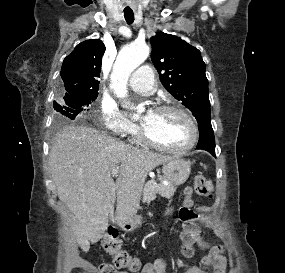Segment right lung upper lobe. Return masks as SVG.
<instances>
[{"instance_id":"cb5924a9","label":"right lung upper lobe","mask_w":285,"mask_h":273,"mask_svg":"<svg viewBox=\"0 0 285 273\" xmlns=\"http://www.w3.org/2000/svg\"><path fill=\"white\" fill-rule=\"evenodd\" d=\"M105 49V45L99 39L86 40L78 44L64 59L60 74L65 95L98 91V78Z\"/></svg>"}]
</instances>
